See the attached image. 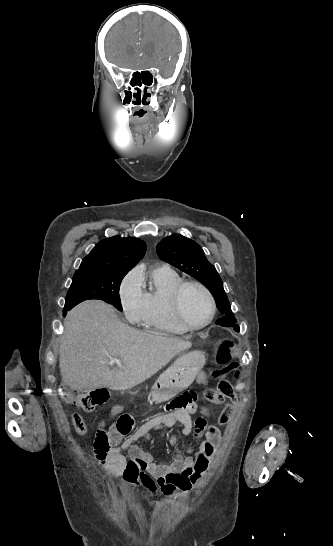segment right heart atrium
I'll use <instances>...</instances> for the list:
<instances>
[{"mask_svg":"<svg viewBox=\"0 0 333 546\" xmlns=\"http://www.w3.org/2000/svg\"><path fill=\"white\" fill-rule=\"evenodd\" d=\"M120 306L125 318L130 323L142 321L144 301L141 291V276L137 270H131L119 287Z\"/></svg>","mask_w":333,"mask_h":546,"instance_id":"d8ad5b80","label":"right heart atrium"}]
</instances>
